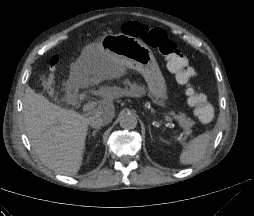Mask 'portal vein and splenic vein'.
<instances>
[{"instance_id":"obj_1","label":"portal vein and splenic vein","mask_w":254,"mask_h":216,"mask_svg":"<svg viewBox=\"0 0 254 216\" xmlns=\"http://www.w3.org/2000/svg\"><path fill=\"white\" fill-rule=\"evenodd\" d=\"M96 106H97V103H95V102L86 103V104L82 107V111H83V112H88V111L94 109ZM163 118H164L166 121L170 122V123H173V122H174L173 118H171V117L168 116V115H163Z\"/></svg>"}]
</instances>
